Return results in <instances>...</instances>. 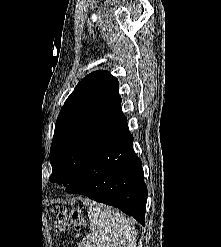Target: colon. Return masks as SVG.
I'll return each mask as SVG.
<instances>
[{"mask_svg":"<svg viewBox=\"0 0 221 247\" xmlns=\"http://www.w3.org/2000/svg\"><path fill=\"white\" fill-rule=\"evenodd\" d=\"M82 225V220L79 217L77 212H72L71 214L67 215L65 213H60L58 215V220L56 223L57 231H61L69 226L79 227Z\"/></svg>","mask_w":221,"mask_h":247,"instance_id":"5ec220e1","label":"colon"}]
</instances>
